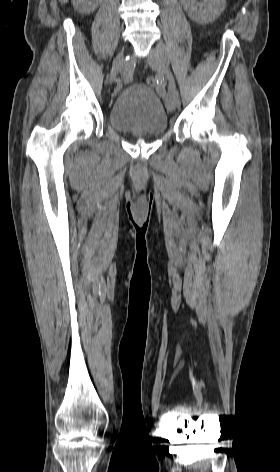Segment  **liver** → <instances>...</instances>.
Returning a JSON list of instances; mask_svg holds the SVG:
<instances>
[{
    "label": "liver",
    "instance_id": "obj_1",
    "mask_svg": "<svg viewBox=\"0 0 280 472\" xmlns=\"http://www.w3.org/2000/svg\"><path fill=\"white\" fill-rule=\"evenodd\" d=\"M60 1L63 2V3H66L68 0H60Z\"/></svg>",
    "mask_w": 280,
    "mask_h": 472
}]
</instances>
